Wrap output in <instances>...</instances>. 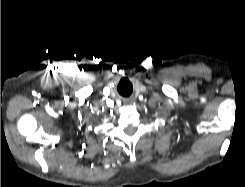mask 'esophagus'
I'll use <instances>...</instances> for the list:
<instances>
[{
	"instance_id": "34e87169",
	"label": "esophagus",
	"mask_w": 245,
	"mask_h": 187,
	"mask_svg": "<svg viewBox=\"0 0 245 187\" xmlns=\"http://www.w3.org/2000/svg\"><path fill=\"white\" fill-rule=\"evenodd\" d=\"M132 101L131 100H124L125 105H131Z\"/></svg>"
}]
</instances>
